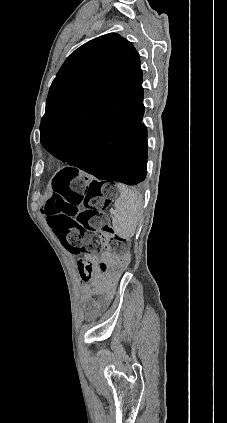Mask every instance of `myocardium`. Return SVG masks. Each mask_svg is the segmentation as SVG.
Wrapping results in <instances>:
<instances>
[{
  "label": "myocardium",
  "mask_w": 227,
  "mask_h": 423,
  "mask_svg": "<svg viewBox=\"0 0 227 423\" xmlns=\"http://www.w3.org/2000/svg\"><path fill=\"white\" fill-rule=\"evenodd\" d=\"M59 164H60V161L58 159H53L52 162H51V165L53 167H58Z\"/></svg>",
  "instance_id": "f54148a6"
}]
</instances>
